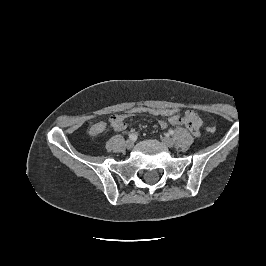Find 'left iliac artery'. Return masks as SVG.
Instances as JSON below:
<instances>
[{"label": "left iliac artery", "mask_w": 266, "mask_h": 266, "mask_svg": "<svg viewBox=\"0 0 266 266\" xmlns=\"http://www.w3.org/2000/svg\"><path fill=\"white\" fill-rule=\"evenodd\" d=\"M168 132H169L170 135L174 134V131L172 129H170Z\"/></svg>", "instance_id": "44dca946"}]
</instances>
